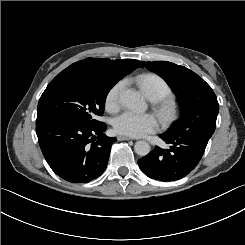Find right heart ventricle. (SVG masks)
<instances>
[{
	"label": "right heart ventricle",
	"mask_w": 245,
	"mask_h": 245,
	"mask_svg": "<svg viewBox=\"0 0 245 245\" xmlns=\"http://www.w3.org/2000/svg\"><path fill=\"white\" fill-rule=\"evenodd\" d=\"M136 80L142 90L151 99L159 100L172 95V91L168 83L156 74H139L136 77Z\"/></svg>",
	"instance_id": "e07e8e85"
}]
</instances>
